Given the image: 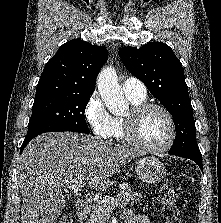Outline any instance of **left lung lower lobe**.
Instances as JSON below:
<instances>
[{
    "label": "left lung lower lobe",
    "instance_id": "1",
    "mask_svg": "<svg viewBox=\"0 0 221 223\" xmlns=\"http://www.w3.org/2000/svg\"><path fill=\"white\" fill-rule=\"evenodd\" d=\"M169 154H173L176 156H180V157H184V158H188L193 160L202 170L203 172V164H202V157H201V153H193V152H189V153H170Z\"/></svg>",
    "mask_w": 221,
    "mask_h": 223
}]
</instances>
